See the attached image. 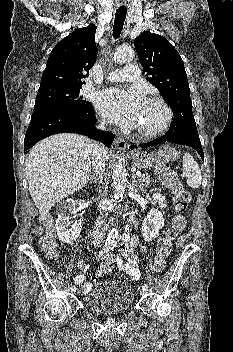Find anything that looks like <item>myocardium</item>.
<instances>
[{"label": "myocardium", "mask_w": 233, "mask_h": 352, "mask_svg": "<svg viewBox=\"0 0 233 352\" xmlns=\"http://www.w3.org/2000/svg\"><path fill=\"white\" fill-rule=\"evenodd\" d=\"M145 100L156 102L157 104H159L164 111V118L158 126L152 129L137 128L136 131L138 134H140L143 137H155L161 134L162 132H164L170 126L173 119V112L170 106L168 105V103L158 95H150L146 97Z\"/></svg>", "instance_id": "f54148a6"}]
</instances>
